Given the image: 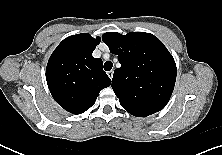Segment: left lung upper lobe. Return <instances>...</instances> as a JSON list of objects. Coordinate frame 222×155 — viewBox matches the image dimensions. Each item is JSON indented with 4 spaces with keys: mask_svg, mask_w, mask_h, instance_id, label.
<instances>
[{
    "mask_svg": "<svg viewBox=\"0 0 222 155\" xmlns=\"http://www.w3.org/2000/svg\"><path fill=\"white\" fill-rule=\"evenodd\" d=\"M103 42L118 55L112 88L130 114L146 117L168 103L176 81V64L163 43L145 32H108Z\"/></svg>",
    "mask_w": 222,
    "mask_h": 155,
    "instance_id": "left-lung-upper-lobe-1",
    "label": "left lung upper lobe"
}]
</instances>
